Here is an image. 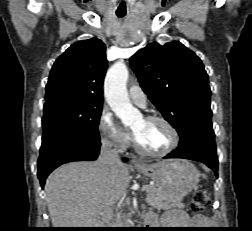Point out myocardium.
I'll return each instance as SVG.
<instances>
[{
  "mask_svg": "<svg viewBox=\"0 0 252 231\" xmlns=\"http://www.w3.org/2000/svg\"><path fill=\"white\" fill-rule=\"evenodd\" d=\"M144 119L146 121H159V122L163 123L169 129V131L172 135V142L169 145V147H167L163 151H150V150L145 149L139 143L136 136L132 132V143H133L135 150L138 153L145 155V156H150V157H162V156H166V155L170 154L178 147L179 142H180L179 132L176 129V127L168 119H166L165 117L160 116V115H147L144 117Z\"/></svg>",
  "mask_w": 252,
  "mask_h": 231,
  "instance_id": "1",
  "label": "myocardium"
}]
</instances>
